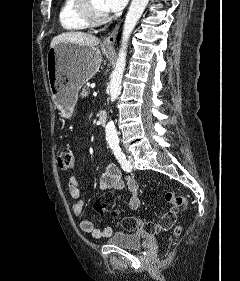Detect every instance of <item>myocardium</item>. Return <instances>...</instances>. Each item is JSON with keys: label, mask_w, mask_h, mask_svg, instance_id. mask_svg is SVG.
I'll list each match as a JSON object with an SVG mask.
<instances>
[{"label": "myocardium", "mask_w": 240, "mask_h": 281, "mask_svg": "<svg viewBox=\"0 0 240 281\" xmlns=\"http://www.w3.org/2000/svg\"><path fill=\"white\" fill-rule=\"evenodd\" d=\"M77 10L80 17L89 26L102 25L109 20L108 13L97 8L94 0H79Z\"/></svg>", "instance_id": "1"}]
</instances>
